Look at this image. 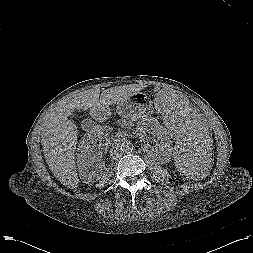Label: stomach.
I'll list each match as a JSON object with an SVG mask.
<instances>
[{
  "instance_id": "obj_1",
  "label": "stomach",
  "mask_w": 253,
  "mask_h": 253,
  "mask_svg": "<svg viewBox=\"0 0 253 253\" xmlns=\"http://www.w3.org/2000/svg\"><path fill=\"white\" fill-rule=\"evenodd\" d=\"M116 108L122 118L130 121L141 120L154 110L151 99L142 92L133 94L128 100L117 104Z\"/></svg>"
}]
</instances>
